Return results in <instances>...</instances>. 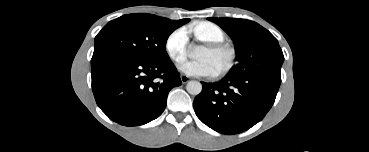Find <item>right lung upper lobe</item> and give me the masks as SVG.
Here are the masks:
<instances>
[{
	"label": "right lung upper lobe",
	"instance_id": "obj_1",
	"mask_svg": "<svg viewBox=\"0 0 369 152\" xmlns=\"http://www.w3.org/2000/svg\"><path fill=\"white\" fill-rule=\"evenodd\" d=\"M158 18L163 19V20H166L167 22H169L170 24L176 26L177 28L180 27V26H182L183 24H185V23H187L189 21V19H182V20L175 21V20H169V19L164 18V17H158Z\"/></svg>",
	"mask_w": 369,
	"mask_h": 152
}]
</instances>
